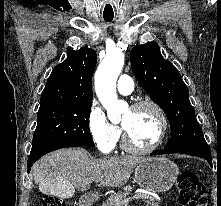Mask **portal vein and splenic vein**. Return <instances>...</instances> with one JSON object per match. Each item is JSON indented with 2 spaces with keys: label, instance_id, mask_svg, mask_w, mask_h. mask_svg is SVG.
<instances>
[{
  "label": "portal vein and splenic vein",
  "instance_id": "portal-vein-and-splenic-vein-1",
  "mask_svg": "<svg viewBox=\"0 0 221 206\" xmlns=\"http://www.w3.org/2000/svg\"><path fill=\"white\" fill-rule=\"evenodd\" d=\"M144 197H146V196L140 194V195L134 196L133 198H127V199L124 200V204H125V206H127L129 201H131L132 199H140V198L143 199Z\"/></svg>",
  "mask_w": 221,
  "mask_h": 206
}]
</instances>
